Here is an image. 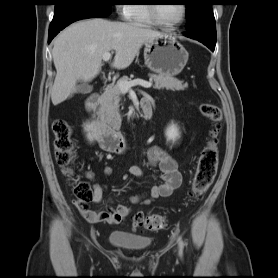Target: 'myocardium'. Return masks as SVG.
<instances>
[{"instance_id":"1","label":"myocardium","mask_w":278,"mask_h":278,"mask_svg":"<svg viewBox=\"0 0 278 278\" xmlns=\"http://www.w3.org/2000/svg\"><path fill=\"white\" fill-rule=\"evenodd\" d=\"M181 9H182V11H181L180 18L172 24H166L158 18L157 14H156V6L154 4L148 5V14L154 25H157V26L165 28V29H174V28H177L178 26H180L186 18L187 6L185 4H181Z\"/></svg>"}]
</instances>
